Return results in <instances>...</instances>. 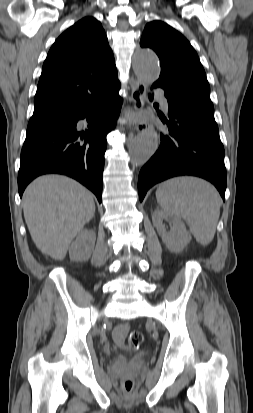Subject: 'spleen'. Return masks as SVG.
Here are the masks:
<instances>
[{"mask_svg":"<svg viewBox=\"0 0 253 413\" xmlns=\"http://www.w3.org/2000/svg\"><path fill=\"white\" fill-rule=\"evenodd\" d=\"M159 206L168 214L184 219L201 245L214 238L221 199L209 182L191 176L169 179L156 190Z\"/></svg>","mask_w":253,"mask_h":413,"instance_id":"3e777b00","label":"spleen"}]
</instances>
